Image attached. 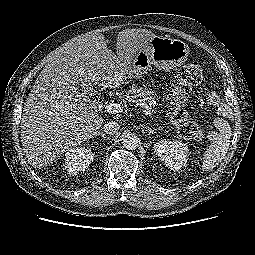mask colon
<instances>
[{
    "label": "colon",
    "mask_w": 255,
    "mask_h": 255,
    "mask_svg": "<svg viewBox=\"0 0 255 255\" xmlns=\"http://www.w3.org/2000/svg\"><path fill=\"white\" fill-rule=\"evenodd\" d=\"M203 79V72L199 62L193 61L184 66L178 73L174 83L173 90L169 96L170 119L177 127L179 133L186 138H191L201 142L205 139V132L201 126L188 118L184 108V95L193 86L198 85ZM208 103L216 106L220 103V96L216 92L208 95Z\"/></svg>",
    "instance_id": "1"
}]
</instances>
